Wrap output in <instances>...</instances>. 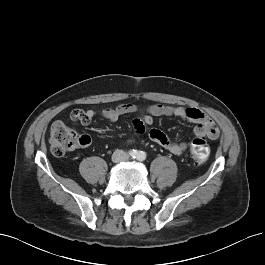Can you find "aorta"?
Returning <instances> with one entry per match:
<instances>
[{
  "label": "aorta",
  "instance_id": "aorta-1",
  "mask_svg": "<svg viewBox=\"0 0 265 265\" xmlns=\"http://www.w3.org/2000/svg\"><path fill=\"white\" fill-rule=\"evenodd\" d=\"M143 154V158H144V156H145V153H142Z\"/></svg>",
  "mask_w": 265,
  "mask_h": 265
}]
</instances>
